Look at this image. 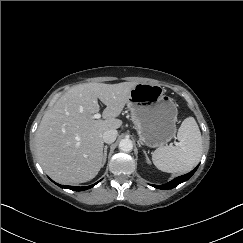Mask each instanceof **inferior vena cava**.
I'll use <instances>...</instances> for the list:
<instances>
[{"label":"inferior vena cava","mask_w":243,"mask_h":243,"mask_svg":"<svg viewBox=\"0 0 243 243\" xmlns=\"http://www.w3.org/2000/svg\"><path fill=\"white\" fill-rule=\"evenodd\" d=\"M117 138V130L111 129L103 133V141L105 143H113Z\"/></svg>","instance_id":"602c4592"}]
</instances>
